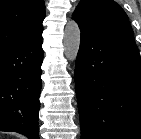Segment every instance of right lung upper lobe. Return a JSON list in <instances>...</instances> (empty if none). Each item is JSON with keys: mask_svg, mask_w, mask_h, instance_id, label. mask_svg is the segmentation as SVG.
Returning a JSON list of instances; mask_svg holds the SVG:
<instances>
[{"mask_svg": "<svg viewBox=\"0 0 141 139\" xmlns=\"http://www.w3.org/2000/svg\"><path fill=\"white\" fill-rule=\"evenodd\" d=\"M44 0H0V50L42 36Z\"/></svg>", "mask_w": 141, "mask_h": 139, "instance_id": "obj_1", "label": "right lung upper lobe"}]
</instances>
